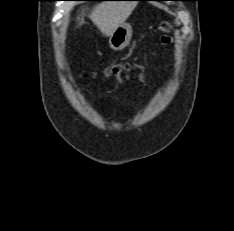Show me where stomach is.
Returning <instances> with one entry per match:
<instances>
[{
  "label": "stomach",
  "instance_id": "1",
  "mask_svg": "<svg viewBox=\"0 0 234 231\" xmlns=\"http://www.w3.org/2000/svg\"><path fill=\"white\" fill-rule=\"evenodd\" d=\"M131 37L132 27L130 24L124 23L110 36L109 46L115 51L123 50L129 44Z\"/></svg>",
  "mask_w": 234,
  "mask_h": 231
}]
</instances>
